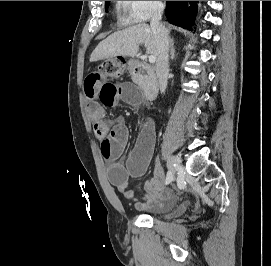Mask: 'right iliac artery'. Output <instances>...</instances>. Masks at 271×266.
<instances>
[{
    "label": "right iliac artery",
    "instance_id": "1",
    "mask_svg": "<svg viewBox=\"0 0 271 266\" xmlns=\"http://www.w3.org/2000/svg\"><path fill=\"white\" fill-rule=\"evenodd\" d=\"M173 180V173L171 171L167 172L165 184H169Z\"/></svg>",
    "mask_w": 271,
    "mask_h": 266
}]
</instances>
